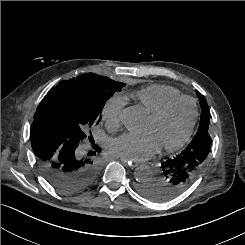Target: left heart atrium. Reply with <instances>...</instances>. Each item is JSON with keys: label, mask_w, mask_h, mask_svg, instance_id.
<instances>
[{"label": "left heart atrium", "mask_w": 245, "mask_h": 245, "mask_svg": "<svg viewBox=\"0 0 245 245\" xmlns=\"http://www.w3.org/2000/svg\"><path fill=\"white\" fill-rule=\"evenodd\" d=\"M159 147L149 133L140 135L123 134L111 143L113 154L132 161H144L151 158Z\"/></svg>", "instance_id": "1"}]
</instances>
